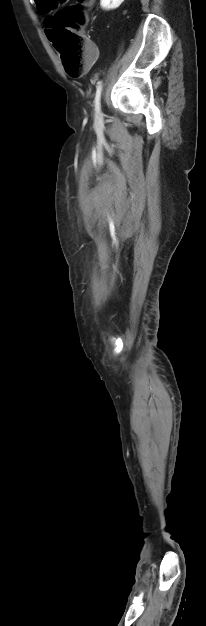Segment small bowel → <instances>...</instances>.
<instances>
[{
    "mask_svg": "<svg viewBox=\"0 0 206 626\" xmlns=\"http://www.w3.org/2000/svg\"><path fill=\"white\" fill-rule=\"evenodd\" d=\"M41 2H42V0H38V1H37V4H38V7H39V8L41 7ZM48 19H49V17H47V18L45 19V33H46V35H47L48 39L51 41V39H50V30H51V27L48 25ZM90 47H91L92 51L96 52V49H95V47H94L92 44L90 45ZM90 63H91V61L89 60V61L87 62V67L90 65Z\"/></svg>",
    "mask_w": 206,
    "mask_h": 626,
    "instance_id": "1",
    "label": "small bowel"
}]
</instances>
